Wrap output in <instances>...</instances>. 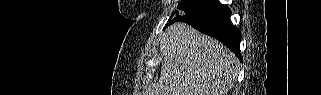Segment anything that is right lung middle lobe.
Masks as SVG:
<instances>
[{
  "instance_id": "obj_1",
  "label": "right lung middle lobe",
  "mask_w": 321,
  "mask_h": 95,
  "mask_svg": "<svg viewBox=\"0 0 321 95\" xmlns=\"http://www.w3.org/2000/svg\"><path fill=\"white\" fill-rule=\"evenodd\" d=\"M213 1L214 0H182L178 5V8L181 11L179 12L176 10L175 12L172 13L165 28L180 18L194 14L195 12H198L199 10L203 9L204 7L212 3ZM175 14H176V17L173 18Z\"/></svg>"
}]
</instances>
